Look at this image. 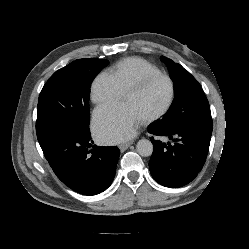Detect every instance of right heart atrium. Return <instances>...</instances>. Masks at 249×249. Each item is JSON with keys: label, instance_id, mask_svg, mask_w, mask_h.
<instances>
[{"label": "right heart atrium", "instance_id": "obj_1", "mask_svg": "<svg viewBox=\"0 0 249 249\" xmlns=\"http://www.w3.org/2000/svg\"><path fill=\"white\" fill-rule=\"evenodd\" d=\"M123 92L110 73H101L95 77L90 88L93 103L103 105L121 98Z\"/></svg>", "mask_w": 249, "mask_h": 249}]
</instances>
